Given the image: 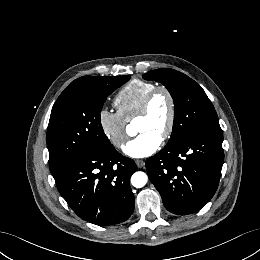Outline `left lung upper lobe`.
Instances as JSON below:
<instances>
[{
  "label": "left lung upper lobe",
  "instance_id": "1",
  "mask_svg": "<svg viewBox=\"0 0 260 260\" xmlns=\"http://www.w3.org/2000/svg\"><path fill=\"white\" fill-rule=\"evenodd\" d=\"M143 78L162 83L173 98L174 123L167 145H173L199 130L220 128L216 111L206 93L185 74L173 69H157L144 74Z\"/></svg>",
  "mask_w": 260,
  "mask_h": 260
}]
</instances>
